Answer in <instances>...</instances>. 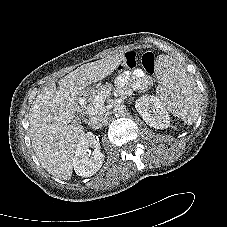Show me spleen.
<instances>
[{"instance_id":"1","label":"spleen","mask_w":227,"mask_h":227,"mask_svg":"<svg viewBox=\"0 0 227 227\" xmlns=\"http://www.w3.org/2000/svg\"><path fill=\"white\" fill-rule=\"evenodd\" d=\"M157 93L166 109L188 124L199 116L201 95L194 79L177 60L160 55L156 64Z\"/></svg>"}]
</instances>
